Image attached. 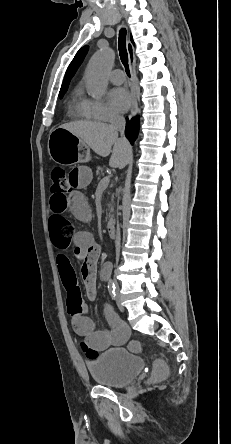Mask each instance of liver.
Here are the masks:
<instances>
[{"instance_id": "6515ba94", "label": "liver", "mask_w": 231, "mask_h": 444, "mask_svg": "<svg viewBox=\"0 0 231 444\" xmlns=\"http://www.w3.org/2000/svg\"><path fill=\"white\" fill-rule=\"evenodd\" d=\"M79 137L88 147L102 157L112 153L109 165L113 168H123L131 154V147L124 138H118V133L110 125L77 121L60 126ZM113 146V149H112Z\"/></svg>"}]
</instances>
